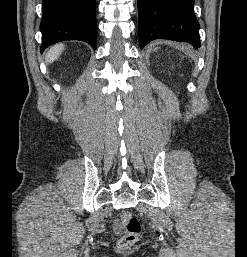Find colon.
<instances>
[{"label":"colon","mask_w":247,"mask_h":257,"mask_svg":"<svg viewBox=\"0 0 247 257\" xmlns=\"http://www.w3.org/2000/svg\"><path fill=\"white\" fill-rule=\"evenodd\" d=\"M122 225L125 227L126 232L122 235L117 245L120 249H128L139 238L142 226L140 220L130 212H124L120 217Z\"/></svg>","instance_id":"1"}]
</instances>
